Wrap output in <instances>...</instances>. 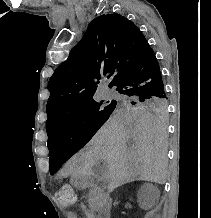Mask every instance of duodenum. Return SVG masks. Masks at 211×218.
Segmentation results:
<instances>
[{"mask_svg": "<svg viewBox=\"0 0 211 218\" xmlns=\"http://www.w3.org/2000/svg\"><path fill=\"white\" fill-rule=\"evenodd\" d=\"M82 181H83V183L85 185H92L93 184V178L88 174L83 175ZM102 218H110V208H109V206H105L103 208Z\"/></svg>", "mask_w": 211, "mask_h": 218, "instance_id": "obj_1", "label": "duodenum"}]
</instances>
